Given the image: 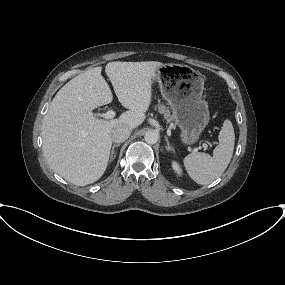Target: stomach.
<instances>
[{"label":"stomach","mask_w":285,"mask_h":285,"mask_svg":"<svg viewBox=\"0 0 285 285\" xmlns=\"http://www.w3.org/2000/svg\"><path fill=\"white\" fill-rule=\"evenodd\" d=\"M155 78L181 131V143H197L210 121L208 105L202 99L204 80L198 72L179 64H163L156 70Z\"/></svg>","instance_id":"0dacf381"}]
</instances>
